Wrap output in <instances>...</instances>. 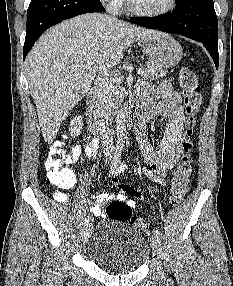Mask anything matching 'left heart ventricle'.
Instances as JSON below:
<instances>
[{"label": "left heart ventricle", "instance_id": "left-heart-ventricle-1", "mask_svg": "<svg viewBox=\"0 0 233 286\" xmlns=\"http://www.w3.org/2000/svg\"><path fill=\"white\" fill-rule=\"evenodd\" d=\"M134 4L146 11L156 12L165 9L168 5L170 0H132Z\"/></svg>", "mask_w": 233, "mask_h": 286}]
</instances>
